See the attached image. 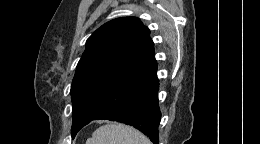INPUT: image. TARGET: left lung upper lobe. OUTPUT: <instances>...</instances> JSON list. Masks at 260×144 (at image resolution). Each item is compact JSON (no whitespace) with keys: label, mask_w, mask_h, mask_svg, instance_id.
I'll list each match as a JSON object with an SVG mask.
<instances>
[{"label":"left lung upper lobe","mask_w":260,"mask_h":144,"mask_svg":"<svg viewBox=\"0 0 260 144\" xmlns=\"http://www.w3.org/2000/svg\"><path fill=\"white\" fill-rule=\"evenodd\" d=\"M150 30L136 17L111 20L87 40L71 85L72 138L136 71L155 60Z\"/></svg>","instance_id":"1"}]
</instances>
